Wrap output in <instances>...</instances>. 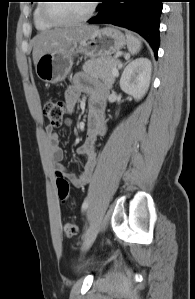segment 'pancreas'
<instances>
[{"label":"pancreas","instance_id":"obj_1","mask_svg":"<svg viewBox=\"0 0 195 299\" xmlns=\"http://www.w3.org/2000/svg\"><path fill=\"white\" fill-rule=\"evenodd\" d=\"M116 66L117 59L115 57H100L86 61L82 66V70L91 77L101 79L111 88L115 81L112 69Z\"/></svg>","mask_w":195,"mask_h":299}]
</instances>
